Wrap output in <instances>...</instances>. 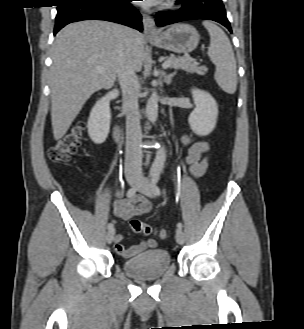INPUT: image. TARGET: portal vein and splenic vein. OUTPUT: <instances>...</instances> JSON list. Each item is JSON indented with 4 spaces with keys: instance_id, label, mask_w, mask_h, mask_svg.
<instances>
[{
    "instance_id": "portal-vein-and-splenic-vein-1",
    "label": "portal vein and splenic vein",
    "mask_w": 304,
    "mask_h": 329,
    "mask_svg": "<svg viewBox=\"0 0 304 329\" xmlns=\"http://www.w3.org/2000/svg\"><path fill=\"white\" fill-rule=\"evenodd\" d=\"M169 65H170V61H165L164 63H163V68H167V67H169ZM98 72H102V69H98Z\"/></svg>"
}]
</instances>
